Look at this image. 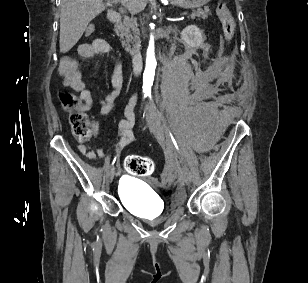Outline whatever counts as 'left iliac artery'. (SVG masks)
<instances>
[{
  "label": "left iliac artery",
  "instance_id": "1",
  "mask_svg": "<svg viewBox=\"0 0 308 283\" xmlns=\"http://www.w3.org/2000/svg\"><path fill=\"white\" fill-rule=\"evenodd\" d=\"M145 94H146V96H149V97L151 98L150 92H146ZM158 116H159V119H160L161 116H160L159 114H158ZM169 132H170V131H169ZM170 136H171L172 142L174 143L176 149L179 151V148H178V145H177V143H176V140L174 139V137H173V135H172L171 132H170ZM179 152H180V151H179Z\"/></svg>",
  "mask_w": 308,
  "mask_h": 283
}]
</instances>
